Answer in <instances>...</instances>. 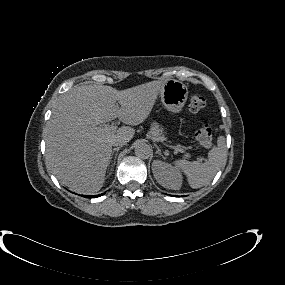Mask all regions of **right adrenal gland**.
I'll use <instances>...</instances> for the list:
<instances>
[{
    "label": "right adrenal gland",
    "instance_id": "1",
    "mask_svg": "<svg viewBox=\"0 0 285 285\" xmlns=\"http://www.w3.org/2000/svg\"><path fill=\"white\" fill-rule=\"evenodd\" d=\"M120 146L119 147H116V148H114L113 150H112V154H111V157H110V162H111V159L113 158V155H114V153L116 152V154H115V159H114V163L112 164V170L111 171H113V168H114V166H115V162H116V157H117V154H118V151L120 150Z\"/></svg>",
    "mask_w": 285,
    "mask_h": 285
}]
</instances>
